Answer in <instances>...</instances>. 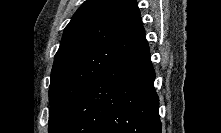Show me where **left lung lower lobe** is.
Listing matches in <instances>:
<instances>
[{"label":"left lung lower lobe","instance_id":"1","mask_svg":"<svg viewBox=\"0 0 221 133\" xmlns=\"http://www.w3.org/2000/svg\"><path fill=\"white\" fill-rule=\"evenodd\" d=\"M154 79L144 38L91 82L55 133H161Z\"/></svg>","mask_w":221,"mask_h":133}]
</instances>
